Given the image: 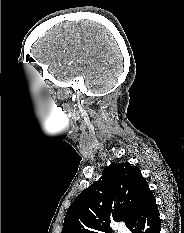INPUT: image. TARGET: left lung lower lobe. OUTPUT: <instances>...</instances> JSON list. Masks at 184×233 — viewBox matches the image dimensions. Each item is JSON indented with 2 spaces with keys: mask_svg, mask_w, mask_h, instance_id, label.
I'll return each mask as SVG.
<instances>
[{
  "mask_svg": "<svg viewBox=\"0 0 184 233\" xmlns=\"http://www.w3.org/2000/svg\"><path fill=\"white\" fill-rule=\"evenodd\" d=\"M131 233H160V217L155 197L150 190L126 225Z\"/></svg>",
  "mask_w": 184,
  "mask_h": 233,
  "instance_id": "0a47b994",
  "label": "left lung lower lobe"
}]
</instances>
